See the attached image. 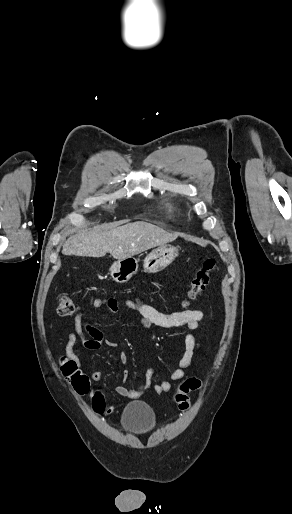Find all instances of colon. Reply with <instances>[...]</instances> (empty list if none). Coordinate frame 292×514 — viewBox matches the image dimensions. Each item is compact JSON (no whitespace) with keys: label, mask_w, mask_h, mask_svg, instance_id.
<instances>
[{"label":"colon","mask_w":292,"mask_h":514,"mask_svg":"<svg viewBox=\"0 0 292 514\" xmlns=\"http://www.w3.org/2000/svg\"><path fill=\"white\" fill-rule=\"evenodd\" d=\"M215 269V259L209 258L205 260L203 265L196 271V274L192 280V284L186 293V303H189L190 300L195 299L206 290ZM57 306L59 315L63 317L72 316L77 309L75 302L67 294H60L58 296ZM61 369L63 375L68 379L69 383L75 391L80 394H87L90 391L89 377L81 372L75 361L63 357L61 359ZM199 387L200 382L198 380V376L193 374L179 385L178 393L174 397L175 403L183 409L188 408L189 401L184 395H191L193 391L192 389H197ZM181 392L184 395L180 394ZM93 401L96 403L94 409L97 413L96 417L101 419L103 417L102 413L105 411V399L100 393H94Z\"/></svg>","instance_id":"colon-1"}]
</instances>
